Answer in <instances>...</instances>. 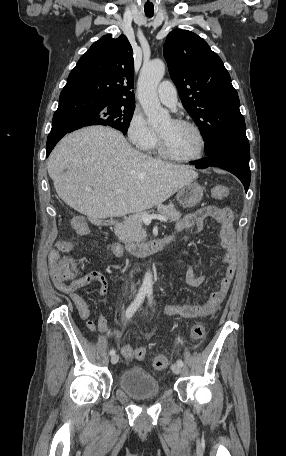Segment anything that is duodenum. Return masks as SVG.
Returning <instances> with one entry per match:
<instances>
[{
  "label": "duodenum",
  "mask_w": 286,
  "mask_h": 456,
  "mask_svg": "<svg viewBox=\"0 0 286 456\" xmlns=\"http://www.w3.org/2000/svg\"><path fill=\"white\" fill-rule=\"evenodd\" d=\"M101 225H109V221L100 219ZM178 241L174 237H166L156 239L152 241H144L140 243H130L126 245V249L129 253L136 256H146L151 253L164 251L166 249L176 246Z\"/></svg>",
  "instance_id": "duodenum-1"
}]
</instances>
